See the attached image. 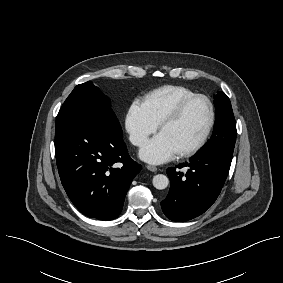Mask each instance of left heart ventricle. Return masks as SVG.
<instances>
[{
    "mask_svg": "<svg viewBox=\"0 0 283 283\" xmlns=\"http://www.w3.org/2000/svg\"><path fill=\"white\" fill-rule=\"evenodd\" d=\"M209 106L203 99L193 101L178 121L163 128V134L181 152L195 144L203 135L209 121Z\"/></svg>",
    "mask_w": 283,
    "mask_h": 283,
    "instance_id": "b2bd125f",
    "label": "left heart ventricle"
}]
</instances>
